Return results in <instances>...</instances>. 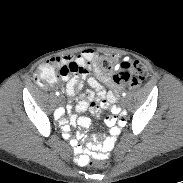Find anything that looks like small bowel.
<instances>
[{"mask_svg": "<svg viewBox=\"0 0 183 183\" xmlns=\"http://www.w3.org/2000/svg\"><path fill=\"white\" fill-rule=\"evenodd\" d=\"M97 53L93 49H85L75 56L53 57L49 59L40 69L58 68L61 69L64 65L74 64L78 71L69 75H61L62 79L66 81L65 91L68 96L72 97L76 93H80L76 99L75 111L82 113L90 110L93 115L99 116L102 110H109L114 116L106 118L105 122L109 127L108 132L110 135L115 136L120 133L121 128L125 127L128 123L129 112L127 109L119 108L115 105L118 92L121 86L117 85L110 77L103 74L97 66ZM94 72L96 76L103 82L111 86L110 90H106L100 81L92 75ZM86 80L90 89L86 92H81L83 88V81ZM56 79L52 82L54 84ZM70 112L69 119H65L64 113L60 110L55 113L54 118L60 122L59 128L65 132L64 136L70 141L78 155L77 161L79 164L84 165L87 163L88 156H93L96 161H108L111 154L115 151L117 141L113 137H108L102 142L100 133L95 132L91 136V143L85 147L82 140V135L85 134L86 129L90 128L91 120L87 117H78L72 113V105L67 106ZM76 126L75 132L79 135L74 138L75 133L69 129L70 125Z\"/></svg>", "mask_w": 183, "mask_h": 183, "instance_id": "obj_1", "label": "small bowel"}]
</instances>
